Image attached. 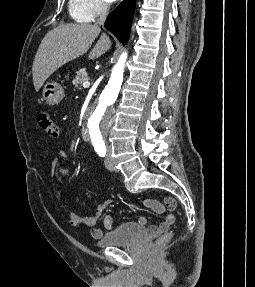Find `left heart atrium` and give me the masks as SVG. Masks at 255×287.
Instances as JSON below:
<instances>
[{
  "label": "left heart atrium",
  "instance_id": "39dd6f15",
  "mask_svg": "<svg viewBox=\"0 0 255 287\" xmlns=\"http://www.w3.org/2000/svg\"><path fill=\"white\" fill-rule=\"evenodd\" d=\"M73 33H86V32H73ZM72 39H92V38H72ZM72 48H90V47H72Z\"/></svg>",
  "mask_w": 255,
  "mask_h": 287
}]
</instances>
